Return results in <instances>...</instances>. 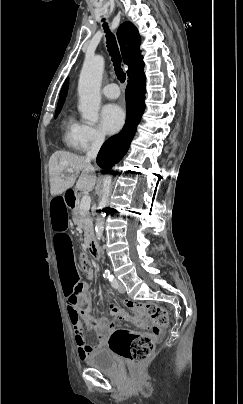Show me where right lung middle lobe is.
<instances>
[{"instance_id": "right-lung-middle-lobe-1", "label": "right lung middle lobe", "mask_w": 243, "mask_h": 404, "mask_svg": "<svg viewBox=\"0 0 243 404\" xmlns=\"http://www.w3.org/2000/svg\"><path fill=\"white\" fill-rule=\"evenodd\" d=\"M62 107L56 108L55 117H57L58 113L60 112Z\"/></svg>"}]
</instances>
